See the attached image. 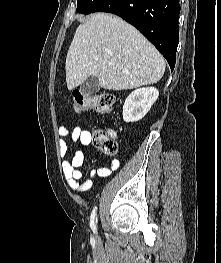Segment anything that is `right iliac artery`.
I'll return each mask as SVG.
<instances>
[{
  "instance_id": "right-iliac-artery-1",
  "label": "right iliac artery",
  "mask_w": 221,
  "mask_h": 263,
  "mask_svg": "<svg viewBox=\"0 0 221 263\" xmlns=\"http://www.w3.org/2000/svg\"><path fill=\"white\" fill-rule=\"evenodd\" d=\"M96 210L97 207H94L91 214L90 227L92 228V230H96V225H95Z\"/></svg>"
}]
</instances>
